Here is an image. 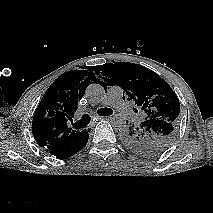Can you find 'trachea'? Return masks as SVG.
<instances>
[{
	"instance_id": "trachea-1",
	"label": "trachea",
	"mask_w": 213,
	"mask_h": 213,
	"mask_svg": "<svg viewBox=\"0 0 213 213\" xmlns=\"http://www.w3.org/2000/svg\"><path fill=\"white\" fill-rule=\"evenodd\" d=\"M113 113V111L109 108H101L97 111L98 115L101 116H109ZM91 117L88 114L82 116L80 120L76 123H73L75 128H85L90 123Z\"/></svg>"
}]
</instances>
